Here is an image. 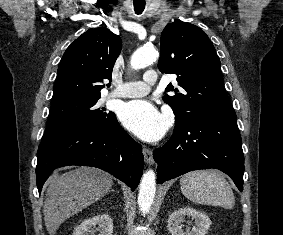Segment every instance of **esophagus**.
I'll return each instance as SVG.
<instances>
[{"label":"esophagus","mask_w":283,"mask_h":235,"mask_svg":"<svg viewBox=\"0 0 283 235\" xmlns=\"http://www.w3.org/2000/svg\"><path fill=\"white\" fill-rule=\"evenodd\" d=\"M143 155L144 161L147 165H152L154 163L153 152L150 148L143 147Z\"/></svg>","instance_id":"34e87169"}]
</instances>
